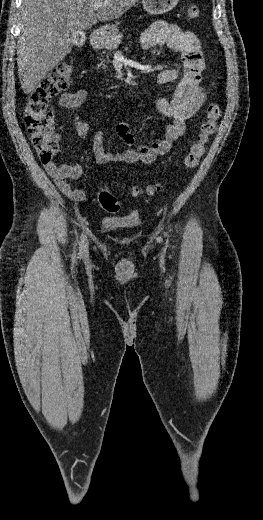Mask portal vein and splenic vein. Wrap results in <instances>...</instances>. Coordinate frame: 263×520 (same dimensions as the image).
Masks as SVG:
<instances>
[{"instance_id": "portal-vein-and-splenic-vein-1", "label": "portal vein and splenic vein", "mask_w": 263, "mask_h": 520, "mask_svg": "<svg viewBox=\"0 0 263 520\" xmlns=\"http://www.w3.org/2000/svg\"><path fill=\"white\" fill-rule=\"evenodd\" d=\"M102 5H103V3H101V2H97V3L94 4V8H95V9H98V8L101 7Z\"/></svg>"}]
</instances>
